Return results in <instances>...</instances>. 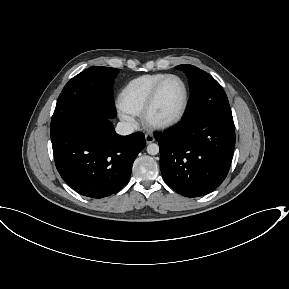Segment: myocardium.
I'll return each instance as SVG.
<instances>
[{
  "instance_id": "obj_1",
  "label": "myocardium",
  "mask_w": 289,
  "mask_h": 289,
  "mask_svg": "<svg viewBox=\"0 0 289 289\" xmlns=\"http://www.w3.org/2000/svg\"><path fill=\"white\" fill-rule=\"evenodd\" d=\"M169 79H177L182 83V85L184 87V92H185L184 102H183V105H182L180 112L174 118L166 120V121H157V120H154L152 118V110L155 106L157 97L159 95V92H160L162 86ZM189 101H190V90H189V86H188L187 82L185 81V79L179 75H176V74H167L165 77H163L161 80H159L155 84L153 89L151 90V92L148 96V99L144 105V108L142 110V113H141L142 120H143L144 124L151 129L162 130V129L171 128L182 121V119L184 118V116L187 112V109L189 106Z\"/></svg>"
}]
</instances>
